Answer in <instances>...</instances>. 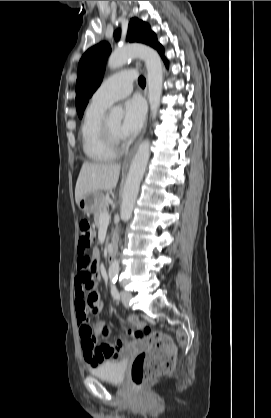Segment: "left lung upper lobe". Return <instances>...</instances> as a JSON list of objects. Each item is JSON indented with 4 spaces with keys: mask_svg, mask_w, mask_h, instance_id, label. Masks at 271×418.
Wrapping results in <instances>:
<instances>
[{
    "mask_svg": "<svg viewBox=\"0 0 271 418\" xmlns=\"http://www.w3.org/2000/svg\"><path fill=\"white\" fill-rule=\"evenodd\" d=\"M115 36L119 38V32H116ZM127 40L129 42H141L155 49L161 46L149 25L137 18L130 20ZM110 52L109 43L101 42L88 49L79 62L76 82V109L80 118L83 116L89 98L101 84L106 59Z\"/></svg>",
    "mask_w": 271,
    "mask_h": 418,
    "instance_id": "obj_1",
    "label": "left lung upper lobe"
}]
</instances>
